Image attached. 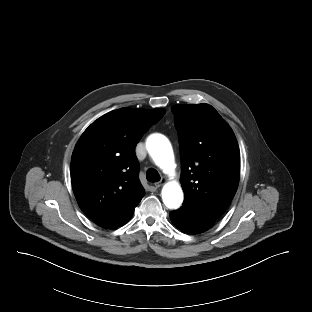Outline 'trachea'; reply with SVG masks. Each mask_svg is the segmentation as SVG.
Returning <instances> with one entry per match:
<instances>
[{"instance_id":"trachea-1","label":"trachea","mask_w":312,"mask_h":312,"mask_svg":"<svg viewBox=\"0 0 312 312\" xmlns=\"http://www.w3.org/2000/svg\"><path fill=\"white\" fill-rule=\"evenodd\" d=\"M146 177H147V180L150 181V182H158L160 180L159 173L155 169H153V168H150L147 171Z\"/></svg>"}]
</instances>
